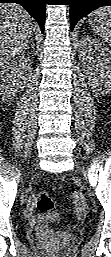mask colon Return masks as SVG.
I'll return each instance as SVG.
<instances>
[{
	"mask_svg": "<svg viewBox=\"0 0 111 257\" xmlns=\"http://www.w3.org/2000/svg\"><path fill=\"white\" fill-rule=\"evenodd\" d=\"M36 207L47 220L51 222L58 220V214L54 211V203L48 191L41 190L38 192Z\"/></svg>",
	"mask_w": 111,
	"mask_h": 257,
	"instance_id": "obj_1",
	"label": "colon"
}]
</instances>
